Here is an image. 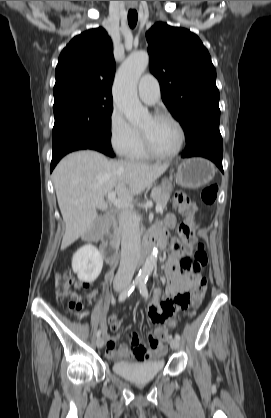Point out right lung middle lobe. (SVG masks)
I'll return each mask as SVG.
<instances>
[{"label":"right lung middle lobe","instance_id":"dd1d6c3e","mask_svg":"<svg viewBox=\"0 0 271 418\" xmlns=\"http://www.w3.org/2000/svg\"><path fill=\"white\" fill-rule=\"evenodd\" d=\"M112 109V98L72 97L55 101L53 141L92 130L110 134Z\"/></svg>","mask_w":271,"mask_h":418}]
</instances>
